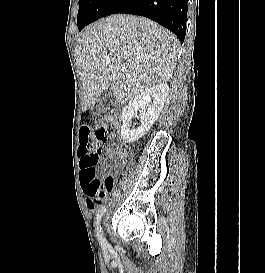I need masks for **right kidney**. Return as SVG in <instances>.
Listing matches in <instances>:
<instances>
[{"mask_svg":"<svg viewBox=\"0 0 265 273\" xmlns=\"http://www.w3.org/2000/svg\"><path fill=\"white\" fill-rule=\"evenodd\" d=\"M169 86L158 83L134 97L122 112L121 136L125 143H132L143 137L158 119L167 100ZM140 111V126L130 129L131 118Z\"/></svg>","mask_w":265,"mask_h":273,"instance_id":"1","label":"right kidney"}]
</instances>
